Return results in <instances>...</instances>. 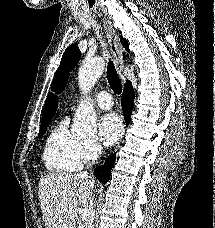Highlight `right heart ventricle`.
<instances>
[{
    "label": "right heart ventricle",
    "instance_id": "e07e8e85",
    "mask_svg": "<svg viewBox=\"0 0 215 228\" xmlns=\"http://www.w3.org/2000/svg\"><path fill=\"white\" fill-rule=\"evenodd\" d=\"M68 123L65 117L49 131L43 149L46 168L58 174L76 172L83 163V142L70 132Z\"/></svg>",
    "mask_w": 215,
    "mask_h": 228
}]
</instances>
